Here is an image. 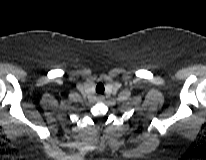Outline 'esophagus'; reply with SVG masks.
I'll return each mask as SVG.
<instances>
[{
  "mask_svg": "<svg viewBox=\"0 0 206 160\" xmlns=\"http://www.w3.org/2000/svg\"><path fill=\"white\" fill-rule=\"evenodd\" d=\"M103 100H104V96L103 95H98L96 97V101H98V102H102Z\"/></svg>",
  "mask_w": 206,
  "mask_h": 160,
  "instance_id": "esophagus-1",
  "label": "esophagus"
}]
</instances>
